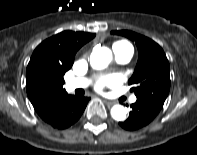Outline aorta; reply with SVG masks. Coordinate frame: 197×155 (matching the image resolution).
Here are the masks:
<instances>
[{
  "label": "aorta",
  "mask_w": 197,
  "mask_h": 155,
  "mask_svg": "<svg viewBox=\"0 0 197 155\" xmlns=\"http://www.w3.org/2000/svg\"><path fill=\"white\" fill-rule=\"evenodd\" d=\"M112 59V52L107 47H100L93 50L90 55V65L94 69H104L108 66ZM111 116L116 121H123L126 119L127 110L122 105H114L111 108Z\"/></svg>",
  "instance_id": "aorta-1"
}]
</instances>
